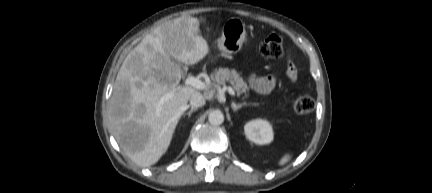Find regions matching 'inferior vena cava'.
Returning <instances> with one entry per match:
<instances>
[{
  "label": "inferior vena cava",
  "mask_w": 432,
  "mask_h": 193,
  "mask_svg": "<svg viewBox=\"0 0 432 193\" xmlns=\"http://www.w3.org/2000/svg\"><path fill=\"white\" fill-rule=\"evenodd\" d=\"M205 102L206 100L200 92H195L190 98V105L194 108L204 106Z\"/></svg>",
  "instance_id": "obj_1"
}]
</instances>
